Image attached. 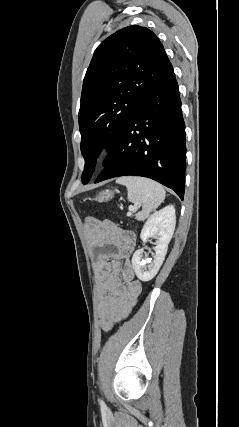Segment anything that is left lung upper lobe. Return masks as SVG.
<instances>
[{
	"label": "left lung upper lobe",
	"mask_w": 239,
	"mask_h": 427,
	"mask_svg": "<svg viewBox=\"0 0 239 427\" xmlns=\"http://www.w3.org/2000/svg\"><path fill=\"white\" fill-rule=\"evenodd\" d=\"M172 68L158 37L146 27H125L97 47L84 77L79 110L83 184L89 182L102 148L113 153L140 101Z\"/></svg>",
	"instance_id": "5c2ea615"
}]
</instances>
